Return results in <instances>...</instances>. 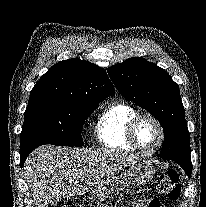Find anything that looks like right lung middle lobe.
<instances>
[{
  "label": "right lung middle lobe",
  "mask_w": 206,
  "mask_h": 207,
  "mask_svg": "<svg viewBox=\"0 0 206 207\" xmlns=\"http://www.w3.org/2000/svg\"><path fill=\"white\" fill-rule=\"evenodd\" d=\"M98 104H81L55 99L28 102L20 137V153L43 144L83 146L84 121Z\"/></svg>",
  "instance_id": "obj_1"
}]
</instances>
